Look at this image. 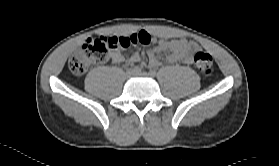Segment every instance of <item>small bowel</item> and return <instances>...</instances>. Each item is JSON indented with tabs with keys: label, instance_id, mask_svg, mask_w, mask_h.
Masks as SVG:
<instances>
[{
	"label": "small bowel",
	"instance_id": "1",
	"mask_svg": "<svg viewBox=\"0 0 279 166\" xmlns=\"http://www.w3.org/2000/svg\"><path fill=\"white\" fill-rule=\"evenodd\" d=\"M141 35L147 37L146 44H155V47L147 52V64L151 68H156L160 65V61L157 56L160 52H168L166 59L170 63L181 61L186 64H191L194 53L199 50V45L194 41H189L186 39H156L144 30L133 33L129 35V37L138 39ZM110 58L112 62L116 64L122 63L125 60L119 48L112 49ZM129 61L130 63H139L142 61V56L139 53H134L129 58Z\"/></svg>",
	"mask_w": 279,
	"mask_h": 166
}]
</instances>
